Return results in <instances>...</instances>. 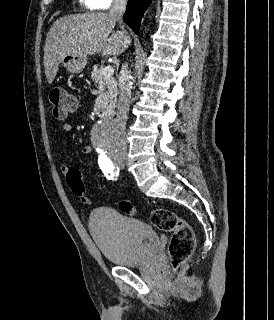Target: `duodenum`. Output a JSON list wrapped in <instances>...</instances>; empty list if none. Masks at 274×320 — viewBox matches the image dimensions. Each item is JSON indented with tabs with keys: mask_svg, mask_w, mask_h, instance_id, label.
<instances>
[{
	"mask_svg": "<svg viewBox=\"0 0 274 320\" xmlns=\"http://www.w3.org/2000/svg\"><path fill=\"white\" fill-rule=\"evenodd\" d=\"M96 112H97L98 117H100L101 119L108 118V117L112 116V111L107 110L100 105L97 106Z\"/></svg>",
	"mask_w": 274,
	"mask_h": 320,
	"instance_id": "1",
	"label": "duodenum"
}]
</instances>
